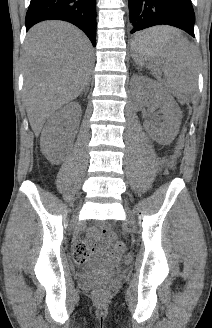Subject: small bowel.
Wrapping results in <instances>:
<instances>
[{
    "mask_svg": "<svg viewBox=\"0 0 212 328\" xmlns=\"http://www.w3.org/2000/svg\"><path fill=\"white\" fill-rule=\"evenodd\" d=\"M75 251L79 252L84 259L95 252L107 266L117 264L121 255L120 251L101 242L96 228H91L89 230L87 242H78L76 244L74 252Z\"/></svg>",
    "mask_w": 212,
    "mask_h": 328,
    "instance_id": "obj_1",
    "label": "small bowel"
}]
</instances>
